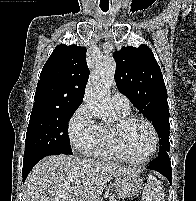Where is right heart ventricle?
Here are the masks:
<instances>
[{
  "label": "right heart ventricle",
  "mask_w": 196,
  "mask_h": 201,
  "mask_svg": "<svg viewBox=\"0 0 196 201\" xmlns=\"http://www.w3.org/2000/svg\"><path fill=\"white\" fill-rule=\"evenodd\" d=\"M116 110V109H115ZM119 118L126 117L129 114V111H120L116 110ZM101 126V137L100 142L96 148L91 153L95 158L102 160H117L124 161L120 152L118 151L114 137H113V127L109 125H100Z\"/></svg>",
  "instance_id": "obj_1"
}]
</instances>
